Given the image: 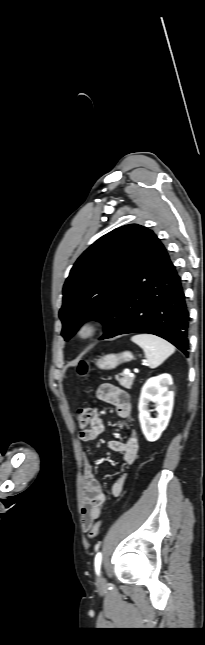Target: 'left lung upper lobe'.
<instances>
[{"instance_id":"left-lung-upper-lobe-1","label":"left lung upper lobe","mask_w":205,"mask_h":645,"mask_svg":"<svg viewBox=\"0 0 205 645\" xmlns=\"http://www.w3.org/2000/svg\"><path fill=\"white\" fill-rule=\"evenodd\" d=\"M147 232L137 224L114 229L78 258L64 284L59 312L65 340L86 320L104 324L100 339L117 329L126 282Z\"/></svg>"}]
</instances>
